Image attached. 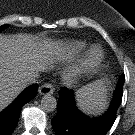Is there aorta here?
<instances>
[{
  "instance_id": "obj_1",
  "label": "aorta",
  "mask_w": 135,
  "mask_h": 135,
  "mask_svg": "<svg viewBox=\"0 0 135 135\" xmlns=\"http://www.w3.org/2000/svg\"><path fill=\"white\" fill-rule=\"evenodd\" d=\"M41 107L48 112L54 111L57 107L56 98L50 94L44 95L41 100Z\"/></svg>"
}]
</instances>
